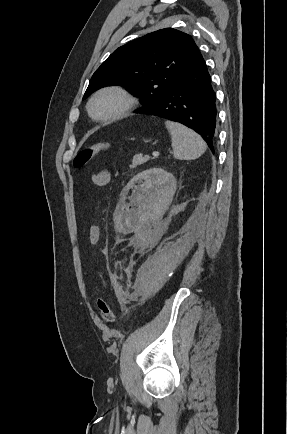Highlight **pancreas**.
<instances>
[{
	"instance_id": "pancreas-1",
	"label": "pancreas",
	"mask_w": 287,
	"mask_h": 434,
	"mask_svg": "<svg viewBox=\"0 0 287 434\" xmlns=\"http://www.w3.org/2000/svg\"><path fill=\"white\" fill-rule=\"evenodd\" d=\"M148 160H150L149 156L143 157L141 154H137L133 157L132 165L130 166V168H136L137 166L146 163Z\"/></svg>"
}]
</instances>
